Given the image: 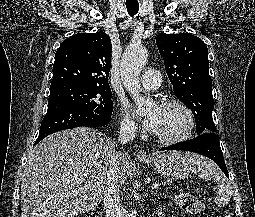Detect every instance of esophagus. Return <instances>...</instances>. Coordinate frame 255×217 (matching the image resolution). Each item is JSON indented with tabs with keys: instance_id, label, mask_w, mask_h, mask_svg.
Returning <instances> with one entry per match:
<instances>
[{
	"instance_id": "esophagus-1",
	"label": "esophagus",
	"mask_w": 255,
	"mask_h": 217,
	"mask_svg": "<svg viewBox=\"0 0 255 217\" xmlns=\"http://www.w3.org/2000/svg\"><path fill=\"white\" fill-rule=\"evenodd\" d=\"M137 157L139 159H148L149 155L147 154V152L144 149H141V150L138 151Z\"/></svg>"
}]
</instances>
